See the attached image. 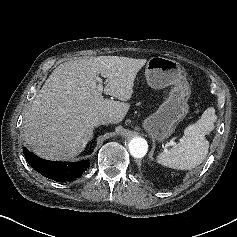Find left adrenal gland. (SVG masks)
Wrapping results in <instances>:
<instances>
[{
  "label": "left adrenal gland",
  "instance_id": "obj_1",
  "mask_svg": "<svg viewBox=\"0 0 237 237\" xmlns=\"http://www.w3.org/2000/svg\"><path fill=\"white\" fill-rule=\"evenodd\" d=\"M154 150H155V143H153V148H152V151L150 152L149 154V158L152 160L153 159V153H154Z\"/></svg>",
  "mask_w": 237,
  "mask_h": 237
}]
</instances>
